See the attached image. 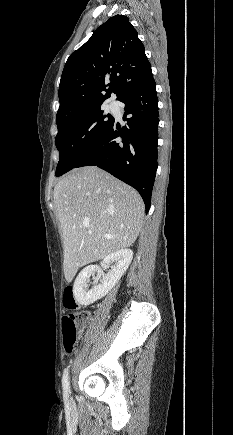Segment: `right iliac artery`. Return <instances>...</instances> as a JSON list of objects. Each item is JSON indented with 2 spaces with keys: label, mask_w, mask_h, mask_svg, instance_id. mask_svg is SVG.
Listing matches in <instances>:
<instances>
[{
  "label": "right iliac artery",
  "mask_w": 233,
  "mask_h": 435,
  "mask_svg": "<svg viewBox=\"0 0 233 435\" xmlns=\"http://www.w3.org/2000/svg\"><path fill=\"white\" fill-rule=\"evenodd\" d=\"M62 387L64 396L68 397L70 394V387H69V380H68V368L64 370L63 377H62Z\"/></svg>",
  "instance_id": "right-iliac-artery-1"
}]
</instances>
